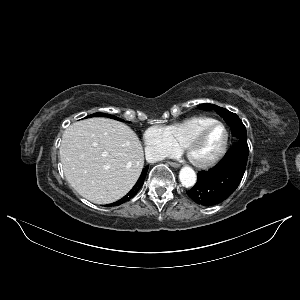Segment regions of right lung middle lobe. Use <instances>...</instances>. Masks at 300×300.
I'll return each instance as SVG.
<instances>
[{"instance_id": "obj_1", "label": "right lung middle lobe", "mask_w": 300, "mask_h": 300, "mask_svg": "<svg viewBox=\"0 0 300 300\" xmlns=\"http://www.w3.org/2000/svg\"><path fill=\"white\" fill-rule=\"evenodd\" d=\"M93 116L108 117V118L120 120L118 117H115V116H112V115H108V114H104V113H95V114L90 115L88 117H93Z\"/></svg>"}]
</instances>
